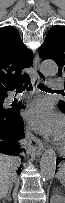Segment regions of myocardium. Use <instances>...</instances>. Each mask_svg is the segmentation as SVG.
Masks as SVG:
<instances>
[{
  "label": "myocardium",
  "mask_w": 65,
  "mask_h": 203,
  "mask_svg": "<svg viewBox=\"0 0 65 203\" xmlns=\"http://www.w3.org/2000/svg\"><path fill=\"white\" fill-rule=\"evenodd\" d=\"M57 147L60 151H65V142H62L61 140H59L57 142Z\"/></svg>",
  "instance_id": "f54148a6"
}]
</instances>
